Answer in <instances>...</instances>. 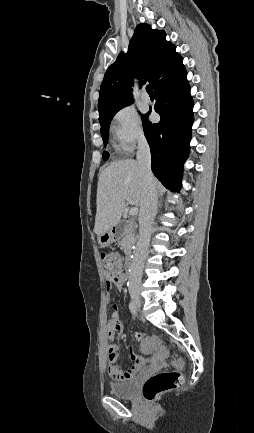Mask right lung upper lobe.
Masks as SVG:
<instances>
[{"instance_id": "cb5924a9", "label": "right lung upper lobe", "mask_w": 254, "mask_h": 433, "mask_svg": "<svg viewBox=\"0 0 254 433\" xmlns=\"http://www.w3.org/2000/svg\"><path fill=\"white\" fill-rule=\"evenodd\" d=\"M175 49L166 40L164 31L139 24L127 54L121 52L105 73L98 101L99 121L110 111L133 101V76L145 78L153 88L162 82L182 59Z\"/></svg>"}]
</instances>
